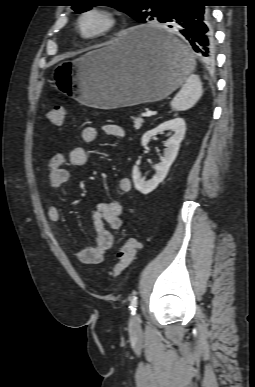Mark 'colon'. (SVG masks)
I'll return each instance as SVG.
<instances>
[{"label":"colon","mask_w":255,"mask_h":387,"mask_svg":"<svg viewBox=\"0 0 255 387\" xmlns=\"http://www.w3.org/2000/svg\"><path fill=\"white\" fill-rule=\"evenodd\" d=\"M66 111L62 105L52 106L45 114L48 122L55 126H62L65 120ZM139 242L134 238L126 239L118 248V261L112 267L110 275L113 278L121 275L134 261Z\"/></svg>","instance_id":"1"}]
</instances>
